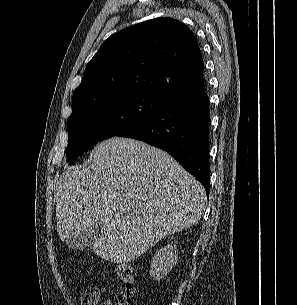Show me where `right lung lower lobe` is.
Instances as JSON below:
<instances>
[{
  "label": "right lung lower lobe",
  "instance_id": "obj_1",
  "mask_svg": "<svg viewBox=\"0 0 297 305\" xmlns=\"http://www.w3.org/2000/svg\"><path fill=\"white\" fill-rule=\"evenodd\" d=\"M210 109L204 86L175 95L156 112L116 136L134 138L172 155L209 196Z\"/></svg>",
  "mask_w": 297,
  "mask_h": 305
}]
</instances>
